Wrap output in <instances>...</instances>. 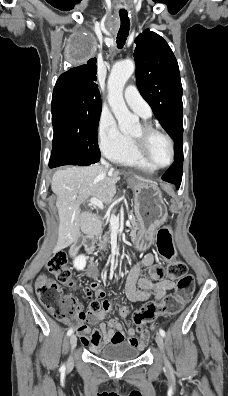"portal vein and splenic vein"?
Instances as JSON below:
<instances>
[{"mask_svg": "<svg viewBox=\"0 0 228 396\" xmlns=\"http://www.w3.org/2000/svg\"><path fill=\"white\" fill-rule=\"evenodd\" d=\"M88 202H89V205L96 206L99 209H103V207H104L102 201L98 200L97 198H91L90 200H88ZM110 224L113 227H119V219L116 216L111 215L110 216ZM125 224L129 225L130 222L126 221Z\"/></svg>", "mask_w": 228, "mask_h": 396, "instance_id": "1", "label": "portal vein and splenic vein"}]
</instances>
